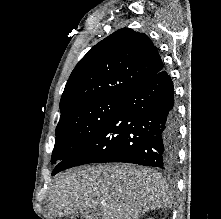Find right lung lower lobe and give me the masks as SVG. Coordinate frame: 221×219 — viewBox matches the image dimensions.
<instances>
[{
  "label": "right lung lower lobe",
  "mask_w": 221,
  "mask_h": 219,
  "mask_svg": "<svg viewBox=\"0 0 221 219\" xmlns=\"http://www.w3.org/2000/svg\"><path fill=\"white\" fill-rule=\"evenodd\" d=\"M177 147L173 82L161 70L126 93L97 134L57 164L52 175L98 162H128L169 170L176 164Z\"/></svg>",
  "instance_id": "obj_1"
}]
</instances>
